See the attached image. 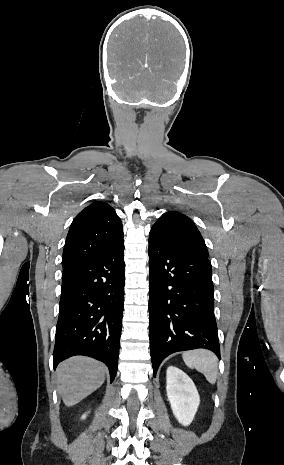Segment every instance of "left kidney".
<instances>
[{
  "mask_svg": "<svg viewBox=\"0 0 284 465\" xmlns=\"http://www.w3.org/2000/svg\"><path fill=\"white\" fill-rule=\"evenodd\" d=\"M166 391L174 417L178 423L188 427L192 423L200 403V397L192 379L177 367H168Z\"/></svg>",
  "mask_w": 284,
  "mask_h": 465,
  "instance_id": "left-kidney-1",
  "label": "left kidney"
}]
</instances>
